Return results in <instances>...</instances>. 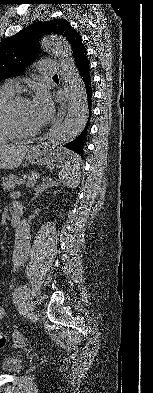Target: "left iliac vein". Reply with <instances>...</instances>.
<instances>
[{
	"instance_id": "1",
	"label": "left iliac vein",
	"mask_w": 153,
	"mask_h": 393,
	"mask_svg": "<svg viewBox=\"0 0 153 393\" xmlns=\"http://www.w3.org/2000/svg\"><path fill=\"white\" fill-rule=\"evenodd\" d=\"M34 308H35V306H34V304L31 301H28L27 303H25L26 311L32 312L34 310Z\"/></svg>"
}]
</instances>
